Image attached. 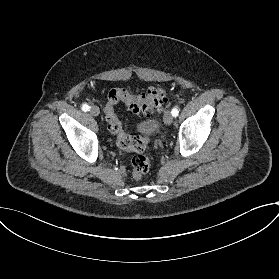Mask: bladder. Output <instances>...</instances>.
<instances>
[{"mask_svg": "<svg viewBox=\"0 0 279 279\" xmlns=\"http://www.w3.org/2000/svg\"><path fill=\"white\" fill-rule=\"evenodd\" d=\"M137 132L146 139L155 138L161 131V123L157 118L136 123Z\"/></svg>", "mask_w": 279, "mask_h": 279, "instance_id": "obj_1", "label": "bladder"}]
</instances>
